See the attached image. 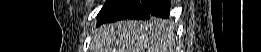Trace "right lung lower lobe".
Segmentation results:
<instances>
[{
    "mask_svg": "<svg viewBox=\"0 0 261 52\" xmlns=\"http://www.w3.org/2000/svg\"><path fill=\"white\" fill-rule=\"evenodd\" d=\"M170 0H108L98 14V25L122 19L168 18Z\"/></svg>",
    "mask_w": 261,
    "mask_h": 52,
    "instance_id": "1",
    "label": "right lung lower lobe"
}]
</instances>
